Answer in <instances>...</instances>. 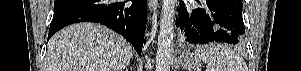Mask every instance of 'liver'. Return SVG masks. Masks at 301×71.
<instances>
[{"mask_svg":"<svg viewBox=\"0 0 301 71\" xmlns=\"http://www.w3.org/2000/svg\"><path fill=\"white\" fill-rule=\"evenodd\" d=\"M133 47L105 26L77 23L51 37L45 71H124Z\"/></svg>","mask_w":301,"mask_h":71,"instance_id":"liver-1","label":"liver"}]
</instances>
